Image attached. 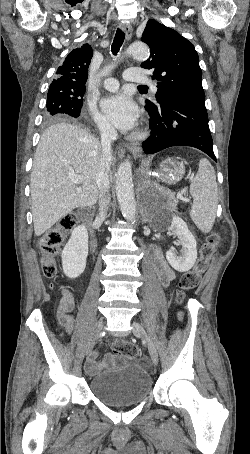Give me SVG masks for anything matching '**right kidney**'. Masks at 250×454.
I'll list each match as a JSON object with an SVG mask.
<instances>
[{
	"label": "right kidney",
	"instance_id": "right-kidney-1",
	"mask_svg": "<svg viewBox=\"0 0 250 454\" xmlns=\"http://www.w3.org/2000/svg\"><path fill=\"white\" fill-rule=\"evenodd\" d=\"M88 256V232L84 225L77 226L71 233L62 251V267L69 278H77L86 268Z\"/></svg>",
	"mask_w": 250,
	"mask_h": 454
}]
</instances>
